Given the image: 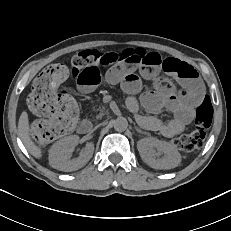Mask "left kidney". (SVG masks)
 Masks as SVG:
<instances>
[{"mask_svg":"<svg viewBox=\"0 0 231 231\" xmlns=\"http://www.w3.org/2000/svg\"><path fill=\"white\" fill-rule=\"evenodd\" d=\"M137 149L142 160L154 169H172L181 162V156L173 145L154 137L139 140Z\"/></svg>","mask_w":231,"mask_h":231,"instance_id":"obj_1","label":"left kidney"}]
</instances>
